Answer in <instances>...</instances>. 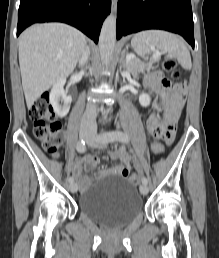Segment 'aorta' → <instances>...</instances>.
Returning <instances> with one entry per match:
<instances>
[{
  "label": "aorta",
  "mask_w": 219,
  "mask_h": 258,
  "mask_svg": "<svg viewBox=\"0 0 219 258\" xmlns=\"http://www.w3.org/2000/svg\"><path fill=\"white\" fill-rule=\"evenodd\" d=\"M116 42V16L109 15L103 25L99 37L100 58L107 65L113 58Z\"/></svg>",
  "instance_id": "762f6f07"
}]
</instances>
